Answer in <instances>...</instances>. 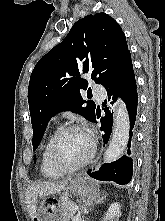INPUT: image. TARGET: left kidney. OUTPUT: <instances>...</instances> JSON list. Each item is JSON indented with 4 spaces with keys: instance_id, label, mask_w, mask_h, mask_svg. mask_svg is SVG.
<instances>
[{
    "instance_id": "left-kidney-1",
    "label": "left kidney",
    "mask_w": 165,
    "mask_h": 221,
    "mask_svg": "<svg viewBox=\"0 0 165 221\" xmlns=\"http://www.w3.org/2000/svg\"><path fill=\"white\" fill-rule=\"evenodd\" d=\"M120 208L121 206L117 202L111 204V206L108 209V212L104 217V221H113L115 217L118 218L119 216H121Z\"/></svg>"
}]
</instances>
